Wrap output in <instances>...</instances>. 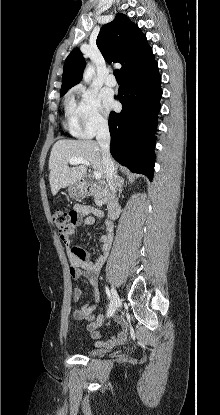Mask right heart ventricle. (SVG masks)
<instances>
[{"label":"right heart ventricle","mask_w":220,"mask_h":415,"mask_svg":"<svg viewBox=\"0 0 220 415\" xmlns=\"http://www.w3.org/2000/svg\"><path fill=\"white\" fill-rule=\"evenodd\" d=\"M70 104H71V100L68 99L67 100V105H66V109H67V123H66V127L70 130L74 129V121L72 119L71 113H70Z\"/></svg>","instance_id":"e07e8e85"}]
</instances>
